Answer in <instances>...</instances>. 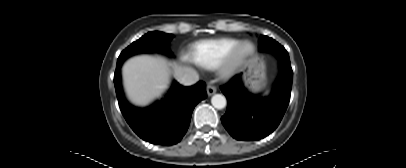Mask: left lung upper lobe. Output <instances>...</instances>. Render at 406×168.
<instances>
[{"label": "left lung upper lobe", "instance_id": "left-lung-upper-lobe-1", "mask_svg": "<svg viewBox=\"0 0 406 168\" xmlns=\"http://www.w3.org/2000/svg\"><path fill=\"white\" fill-rule=\"evenodd\" d=\"M259 50L275 54L278 58L289 56L288 52L278 42L267 36H261L259 39Z\"/></svg>", "mask_w": 406, "mask_h": 168}]
</instances>
